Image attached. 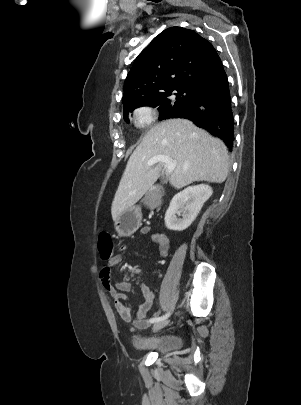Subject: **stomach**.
Returning a JSON list of instances; mask_svg holds the SVG:
<instances>
[{"mask_svg": "<svg viewBox=\"0 0 301 405\" xmlns=\"http://www.w3.org/2000/svg\"><path fill=\"white\" fill-rule=\"evenodd\" d=\"M141 212L137 208L124 211L115 221V229L121 236L134 233L140 226Z\"/></svg>", "mask_w": 301, "mask_h": 405, "instance_id": "stomach-1", "label": "stomach"}]
</instances>
